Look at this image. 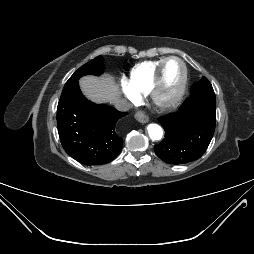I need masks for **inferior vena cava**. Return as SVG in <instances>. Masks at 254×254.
Instances as JSON below:
<instances>
[{
	"mask_svg": "<svg viewBox=\"0 0 254 254\" xmlns=\"http://www.w3.org/2000/svg\"><path fill=\"white\" fill-rule=\"evenodd\" d=\"M114 106L119 111H128L132 107L131 103L126 99L115 100Z\"/></svg>",
	"mask_w": 254,
	"mask_h": 254,
	"instance_id": "1",
	"label": "inferior vena cava"
}]
</instances>
